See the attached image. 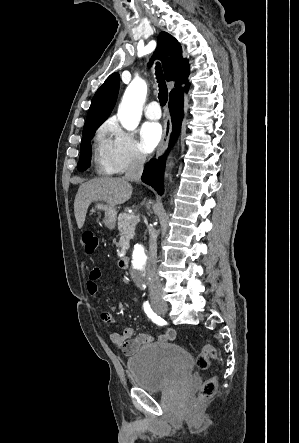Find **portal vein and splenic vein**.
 I'll return each instance as SVG.
<instances>
[{"instance_id":"1","label":"portal vein and splenic vein","mask_w":299,"mask_h":443,"mask_svg":"<svg viewBox=\"0 0 299 443\" xmlns=\"http://www.w3.org/2000/svg\"><path fill=\"white\" fill-rule=\"evenodd\" d=\"M135 218H136V216L134 214H131L130 216H128L129 220H132V219H135Z\"/></svg>"}]
</instances>
